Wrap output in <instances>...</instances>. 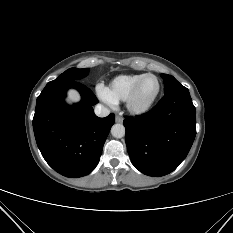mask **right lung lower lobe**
Instances as JSON below:
<instances>
[{"instance_id":"right-lung-lower-lobe-1","label":"right lung lower lobe","mask_w":233,"mask_h":233,"mask_svg":"<svg viewBox=\"0 0 233 233\" xmlns=\"http://www.w3.org/2000/svg\"><path fill=\"white\" fill-rule=\"evenodd\" d=\"M77 89L81 102L68 106L66 91ZM98 102L93 92L78 81L47 84L37 98L33 129L38 148L46 162L58 173L70 178L82 177L94 170L102 153L115 115H95Z\"/></svg>"}]
</instances>
